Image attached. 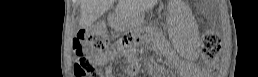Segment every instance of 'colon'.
<instances>
[{"label": "colon", "mask_w": 258, "mask_h": 77, "mask_svg": "<svg viewBox=\"0 0 258 77\" xmlns=\"http://www.w3.org/2000/svg\"><path fill=\"white\" fill-rule=\"evenodd\" d=\"M129 40L130 35L128 34L122 38L124 44L129 43ZM107 45V29L102 23H95L90 27L79 30L74 39L76 48L74 69L76 75L83 76L91 71L90 62L83 54V49L100 50L105 49ZM220 48L218 35L212 31H206L202 38V54L205 61L211 65L212 61L219 55Z\"/></svg>", "instance_id": "1"}]
</instances>
